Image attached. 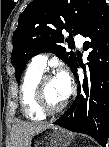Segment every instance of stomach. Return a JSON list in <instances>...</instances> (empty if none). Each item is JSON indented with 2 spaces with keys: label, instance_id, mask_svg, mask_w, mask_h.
Returning <instances> with one entry per match:
<instances>
[{
  "label": "stomach",
  "instance_id": "0dacf381",
  "mask_svg": "<svg viewBox=\"0 0 109 147\" xmlns=\"http://www.w3.org/2000/svg\"><path fill=\"white\" fill-rule=\"evenodd\" d=\"M73 138V133L50 124L32 136L29 147H68Z\"/></svg>",
  "mask_w": 109,
  "mask_h": 147
}]
</instances>
